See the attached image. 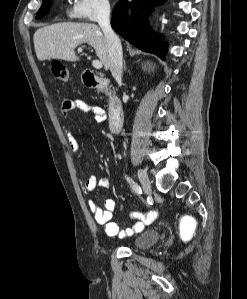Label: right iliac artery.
Segmentation results:
<instances>
[{
  "label": "right iliac artery",
  "mask_w": 247,
  "mask_h": 299,
  "mask_svg": "<svg viewBox=\"0 0 247 299\" xmlns=\"http://www.w3.org/2000/svg\"><path fill=\"white\" fill-rule=\"evenodd\" d=\"M132 188H133V190H134L136 193H138V194H141V193H142V189H141V187H140L137 183L133 182V183H132Z\"/></svg>",
  "instance_id": "right-iliac-artery-1"
}]
</instances>
